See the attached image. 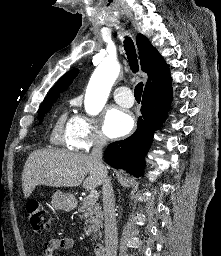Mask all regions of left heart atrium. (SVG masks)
Wrapping results in <instances>:
<instances>
[{"label":"left heart atrium","instance_id":"obj_1","mask_svg":"<svg viewBox=\"0 0 221 256\" xmlns=\"http://www.w3.org/2000/svg\"><path fill=\"white\" fill-rule=\"evenodd\" d=\"M132 127L133 118L120 108L111 107L104 116L103 130L109 138L124 136Z\"/></svg>","mask_w":221,"mask_h":256}]
</instances>
